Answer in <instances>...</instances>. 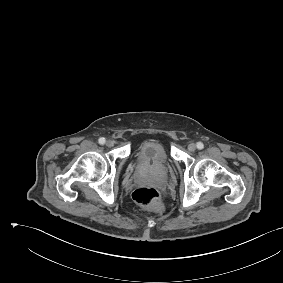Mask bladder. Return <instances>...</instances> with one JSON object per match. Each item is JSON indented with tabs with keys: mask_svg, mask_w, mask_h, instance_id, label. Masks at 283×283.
I'll use <instances>...</instances> for the list:
<instances>
[{
	"mask_svg": "<svg viewBox=\"0 0 283 283\" xmlns=\"http://www.w3.org/2000/svg\"><path fill=\"white\" fill-rule=\"evenodd\" d=\"M134 161L142 169L162 171L170 166V158L164 145L156 140H145L135 150Z\"/></svg>",
	"mask_w": 283,
	"mask_h": 283,
	"instance_id": "31cf9c89",
	"label": "bladder"
}]
</instances>
